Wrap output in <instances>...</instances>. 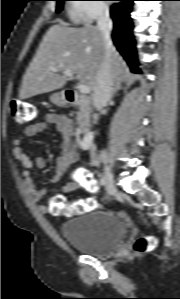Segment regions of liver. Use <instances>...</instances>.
I'll use <instances>...</instances> for the list:
<instances>
[{
	"label": "liver",
	"mask_w": 180,
	"mask_h": 299,
	"mask_svg": "<svg viewBox=\"0 0 180 299\" xmlns=\"http://www.w3.org/2000/svg\"><path fill=\"white\" fill-rule=\"evenodd\" d=\"M108 53L102 33L97 27H69L62 21L49 28L36 51L23 80L19 97L27 99L38 94L63 88L67 76L53 72L69 70L81 84L95 90L99 70ZM110 64L113 83H117L125 70L122 57L112 46Z\"/></svg>",
	"instance_id": "obj_1"
}]
</instances>
